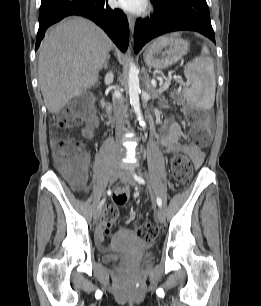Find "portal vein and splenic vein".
Here are the masks:
<instances>
[{"instance_id": "portal-vein-and-splenic-vein-1", "label": "portal vein and splenic vein", "mask_w": 261, "mask_h": 306, "mask_svg": "<svg viewBox=\"0 0 261 306\" xmlns=\"http://www.w3.org/2000/svg\"><path fill=\"white\" fill-rule=\"evenodd\" d=\"M169 82H170V81H169V80H167V83H166V88L169 86ZM152 84H153V85H156L155 80H153V81H152Z\"/></svg>"}]
</instances>
